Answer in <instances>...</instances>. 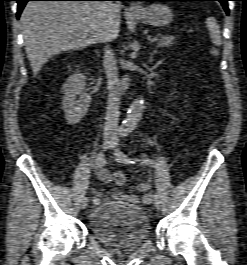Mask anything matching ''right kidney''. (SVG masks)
Here are the masks:
<instances>
[{
    "label": "right kidney",
    "mask_w": 247,
    "mask_h": 265,
    "mask_svg": "<svg viewBox=\"0 0 247 265\" xmlns=\"http://www.w3.org/2000/svg\"><path fill=\"white\" fill-rule=\"evenodd\" d=\"M85 86L86 78L79 72L68 77L63 85L62 108L65 119L70 125L80 122L90 106L91 98L86 92Z\"/></svg>",
    "instance_id": "right-kidney-1"
}]
</instances>
